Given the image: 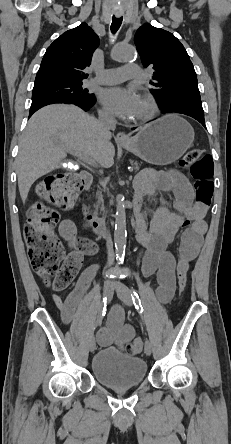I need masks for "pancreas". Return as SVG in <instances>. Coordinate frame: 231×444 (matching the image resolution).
<instances>
[{"label":"pancreas","instance_id":"pancreas-1","mask_svg":"<svg viewBox=\"0 0 231 444\" xmlns=\"http://www.w3.org/2000/svg\"><path fill=\"white\" fill-rule=\"evenodd\" d=\"M132 166H133L134 169L139 170V168L141 167V163L134 162V163H132ZM97 198H98V204H101L103 202V195H102L101 191L98 192Z\"/></svg>","mask_w":231,"mask_h":444}]
</instances>
